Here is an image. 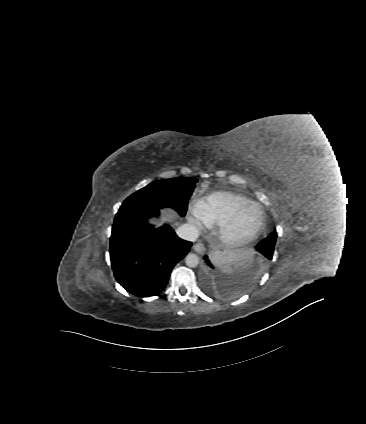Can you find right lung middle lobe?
<instances>
[{
    "label": "right lung middle lobe",
    "mask_w": 366,
    "mask_h": 424,
    "mask_svg": "<svg viewBox=\"0 0 366 424\" xmlns=\"http://www.w3.org/2000/svg\"><path fill=\"white\" fill-rule=\"evenodd\" d=\"M196 182V178H172L152 182L130 195L122 203L117 214L131 210H159L168 206L183 217Z\"/></svg>",
    "instance_id": "right-lung-middle-lobe-1"
}]
</instances>
